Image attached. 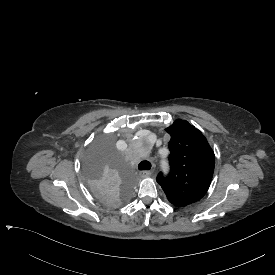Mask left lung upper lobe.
<instances>
[{
	"label": "left lung upper lobe",
	"instance_id": "left-lung-upper-lobe-1",
	"mask_svg": "<svg viewBox=\"0 0 275 275\" xmlns=\"http://www.w3.org/2000/svg\"><path fill=\"white\" fill-rule=\"evenodd\" d=\"M170 134V173L157 176L168 200L184 207L207 192L214 171L215 156L205 136L185 120H175L166 129Z\"/></svg>",
	"mask_w": 275,
	"mask_h": 275
}]
</instances>
